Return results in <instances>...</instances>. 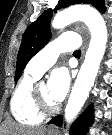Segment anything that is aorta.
<instances>
[{"mask_svg": "<svg viewBox=\"0 0 112 135\" xmlns=\"http://www.w3.org/2000/svg\"><path fill=\"white\" fill-rule=\"evenodd\" d=\"M77 20H81L86 24L91 34V40L65 108L67 125H70L78 116L89 96L108 39L107 27L103 17L90 6L71 7L57 13L52 21V26L55 29H62ZM66 134H68V131H66Z\"/></svg>", "mask_w": 112, "mask_h": 135, "instance_id": "obj_1", "label": "aorta"}]
</instances>
